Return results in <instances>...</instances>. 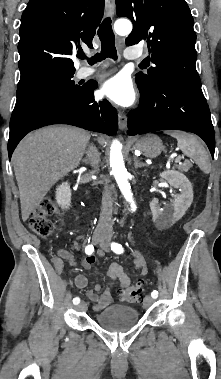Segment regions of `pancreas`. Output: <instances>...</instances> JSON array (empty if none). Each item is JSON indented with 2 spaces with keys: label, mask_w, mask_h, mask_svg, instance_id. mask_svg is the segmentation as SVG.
I'll list each match as a JSON object with an SVG mask.
<instances>
[{
  "label": "pancreas",
  "mask_w": 221,
  "mask_h": 379,
  "mask_svg": "<svg viewBox=\"0 0 221 379\" xmlns=\"http://www.w3.org/2000/svg\"><path fill=\"white\" fill-rule=\"evenodd\" d=\"M191 167V164L190 163H183V164H180V165H177V168L180 170V171H183V172H187L189 170V168Z\"/></svg>",
  "instance_id": "pancreas-1"
}]
</instances>
